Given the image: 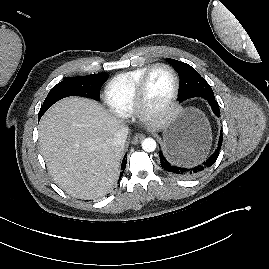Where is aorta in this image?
Returning <instances> with one entry per match:
<instances>
[{"label":"aorta","instance_id":"762f6f07","mask_svg":"<svg viewBox=\"0 0 269 269\" xmlns=\"http://www.w3.org/2000/svg\"><path fill=\"white\" fill-rule=\"evenodd\" d=\"M142 148L146 152H153L156 149V141L153 138H146L142 141Z\"/></svg>","mask_w":269,"mask_h":269}]
</instances>
